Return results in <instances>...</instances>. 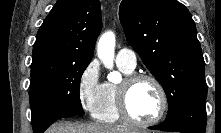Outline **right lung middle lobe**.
<instances>
[{
    "label": "right lung middle lobe",
    "instance_id": "obj_1",
    "mask_svg": "<svg viewBox=\"0 0 221 133\" xmlns=\"http://www.w3.org/2000/svg\"><path fill=\"white\" fill-rule=\"evenodd\" d=\"M90 62L65 64L31 74L32 119L40 115L61 117L83 115L79 89L83 72Z\"/></svg>",
    "mask_w": 221,
    "mask_h": 133
}]
</instances>
